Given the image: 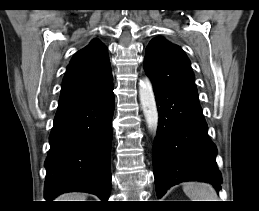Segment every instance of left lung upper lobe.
Instances as JSON below:
<instances>
[{"label": "left lung upper lobe", "instance_id": "5c2ea615", "mask_svg": "<svg viewBox=\"0 0 259 211\" xmlns=\"http://www.w3.org/2000/svg\"><path fill=\"white\" fill-rule=\"evenodd\" d=\"M144 70L154 86L197 95L194 74L184 51L162 37L146 47Z\"/></svg>", "mask_w": 259, "mask_h": 211}]
</instances>
